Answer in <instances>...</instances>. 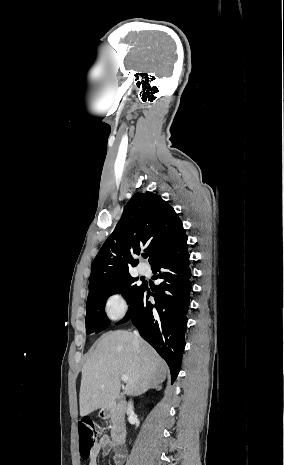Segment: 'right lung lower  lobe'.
Wrapping results in <instances>:
<instances>
[{
  "mask_svg": "<svg viewBox=\"0 0 284 465\" xmlns=\"http://www.w3.org/2000/svg\"><path fill=\"white\" fill-rule=\"evenodd\" d=\"M162 282L150 291L147 284L129 304L124 323L131 319L144 338L167 362L172 382L176 379L185 348L188 311L192 294V273L187 237L151 265ZM153 296L155 304L148 301Z\"/></svg>",
  "mask_w": 284,
  "mask_h": 465,
  "instance_id": "obj_1",
  "label": "right lung lower lobe"
}]
</instances>
